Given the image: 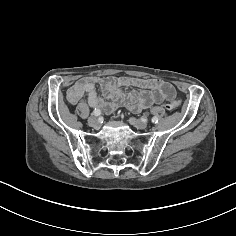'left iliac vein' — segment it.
I'll use <instances>...</instances> for the list:
<instances>
[{
	"label": "left iliac vein",
	"mask_w": 236,
	"mask_h": 236,
	"mask_svg": "<svg viewBox=\"0 0 236 236\" xmlns=\"http://www.w3.org/2000/svg\"><path fill=\"white\" fill-rule=\"evenodd\" d=\"M129 122L137 129H145L147 127V124L145 122L133 117L129 119Z\"/></svg>",
	"instance_id": "1"
}]
</instances>
